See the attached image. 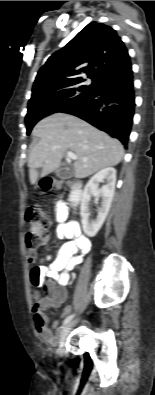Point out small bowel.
Masks as SVG:
<instances>
[{
    "mask_svg": "<svg viewBox=\"0 0 155 395\" xmlns=\"http://www.w3.org/2000/svg\"><path fill=\"white\" fill-rule=\"evenodd\" d=\"M54 216L57 222L58 237L66 242L62 244L58 254L50 260L48 265L35 263L34 267H29V281H31L34 292H45V278L60 286H66L70 280V273L82 262L83 254L90 249V240L81 233L78 224L67 221L68 209L65 203L58 202L56 204ZM64 299L65 294L61 293L54 298H45L32 307L34 328L40 337L50 344L56 343V336L49 327L43 311L53 305L60 304ZM68 312L69 308H66L63 316ZM53 327L58 330L59 321H56Z\"/></svg>",
    "mask_w": 155,
    "mask_h": 395,
    "instance_id": "1",
    "label": "small bowel"
}]
</instances>
